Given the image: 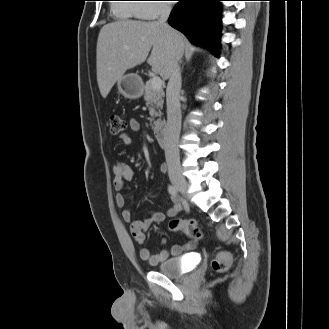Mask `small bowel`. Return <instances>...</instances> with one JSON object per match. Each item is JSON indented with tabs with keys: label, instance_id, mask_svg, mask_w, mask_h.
<instances>
[{
	"label": "small bowel",
	"instance_id": "c3829d8e",
	"mask_svg": "<svg viewBox=\"0 0 329 329\" xmlns=\"http://www.w3.org/2000/svg\"><path fill=\"white\" fill-rule=\"evenodd\" d=\"M130 126L135 130L140 129V124L135 120L130 122ZM118 139L122 144L125 145H129L132 142V137L128 132L120 134ZM160 171L162 173H166L167 166L162 164L160 166ZM112 173L113 186L117 192L115 196L116 204L118 207L122 208V219L129 224L130 233L136 243L139 245L138 254L142 260L148 262L151 265H157L160 261L169 258L170 256L179 255L184 251H188L194 248L193 243H188L186 245H174L170 250L161 249L158 253L152 254L146 247H144L145 231L148 230L154 223L162 222L166 217L173 218L177 216L178 213L182 210V204L176 196H172V206L166 211V213L149 211L148 216L144 219L133 220L131 211L128 208H125L126 197L122 190L124 188L125 182L133 179L134 170L123 162H117L112 167Z\"/></svg>",
	"mask_w": 329,
	"mask_h": 329
}]
</instances>
